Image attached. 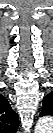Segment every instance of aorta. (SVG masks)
<instances>
[{
	"mask_svg": "<svg viewBox=\"0 0 53 133\" xmlns=\"http://www.w3.org/2000/svg\"><path fill=\"white\" fill-rule=\"evenodd\" d=\"M49 122V118L40 119L36 125V131H43V128H47L46 125Z\"/></svg>",
	"mask_w": 53,
	"mask_h": 133,
	"instance_id": "1",
	"label": "aorta"
}]
</instances>
